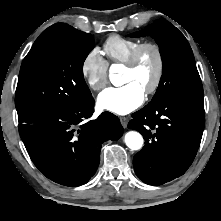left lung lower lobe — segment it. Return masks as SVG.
I'll return each mask as SVG.
<instances>
[{
  "mask_svg": "<svg viewBox=\"0 0 221 221\" xmlns=\"http://www.w3.org/2000/svg\"><path fill=\"white\" fill-rule=\"evenodd\" d=\"M128 127L139 131L145 146L133 158L139 179L161 185L183 175L199 148L205 123L203 101L163 96L132 115Z\"/></svg>",
  "mask_w": 221,
  "mask_h": 221,
  "instance_id": "1",
  "label": "left lung lower lobe"
}]
</instances>
